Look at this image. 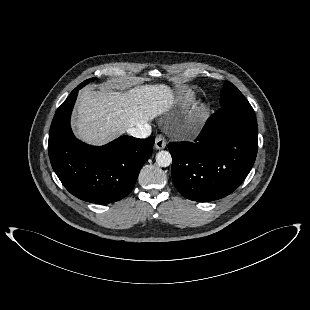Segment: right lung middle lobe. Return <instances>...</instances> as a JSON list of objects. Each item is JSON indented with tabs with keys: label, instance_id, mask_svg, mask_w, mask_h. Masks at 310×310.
<instances>
[{
	"label": "right lung middle lobe",
	"instance_id": "obj_1",
	"mask_svg": "<svg viewBox=\"0 0 310 310\" xmlns=\"http://www.w3.org/2000/svg\"><path fill=\"white\" fill-rule=\"evenodd\" d=\"M92 80H95V78H90V79H88V80L82 82V83L79 85V87L82 88L83 86H85L87 83H89V82L92 81Z\"/></svg>",
	"mask_w": 310,
	"mask_h": 310
}]
</instances>
